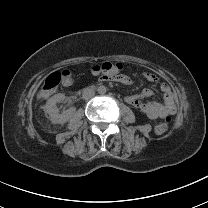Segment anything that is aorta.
<instances>
[{
	"mask_svg": "<svg viewBox=\"0 0 208 208\" xmlns=\"http://www.w3.org/2000/svg\"><path fill=\"white\" fill-rule=\"evenodd\" d=\"M97 91L100 95H106L108 93V88L106 86H99Z\"/></svg>",
	"mask_w": 208,
	"mask_h": 208,
	"instance_id": "1",
	"label": "aorta"
}]
</instances>
